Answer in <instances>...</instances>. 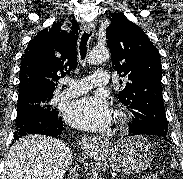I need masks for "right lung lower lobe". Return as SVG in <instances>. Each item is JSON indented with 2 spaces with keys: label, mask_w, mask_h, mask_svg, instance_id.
Here are the masks:
<instances>
[{
  "label": "right lung lower lobe",
  "mask_w": 183,
  "mask_h": 179,
  "mask_svg": "<svg viewBox=\"0 0 183 179\" xmlns=\"http://www.w3.org/2000/svg\"><path fill=\"white\" fill-rule=\"evenodd\" d=\"M62 130H63V123L61 118L58 117V119L52 122L47 123L34 122L21 127L20 129L15 131L14 140L16 141L27 134H42L56 137L58 135H61Z\"/></svg>",
  "instance_id": "right-lung-lower-lobe-1"
}]
</instances>
